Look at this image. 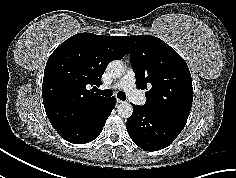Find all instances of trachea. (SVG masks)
<instances>
[{
  "label": "trachea",
  "instance_id": "trachea-1",
  "mask_svg": "<svg viewBox=\"0 0 236 178\" xmlns=\"http://www.w3.org/2000/svg\"><path fill=\"white\" fill-rule=\"evenodd\" d=\"M95 92L99 95L105 96V97H110L113 93L112 90L106 89V90H99L96 89ZM117 97L121 100H126V95L124 92H118Z\"/></svg>",
  "mask_w": 236,
  "mask_h": 178
}]
</instances>
